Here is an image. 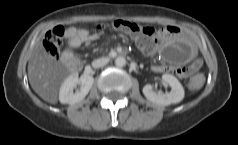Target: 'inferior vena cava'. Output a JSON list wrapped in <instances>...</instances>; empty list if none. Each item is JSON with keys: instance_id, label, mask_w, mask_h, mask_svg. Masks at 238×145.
Segmentation results:
<instances>
[{"instance_id": "inferior-vena-cava-1", "label": "inferior vena cava", "mask_w": 238, "mask_h": 145, "mask_svg": "<svg viewBox=\"0 0 238 145\" xmlns=\"http://www.w3.org/2000/svg\"><path fill=\"white\" fill-rule=\"evenodd\" d=\"M108 63V59L107 58H99V59H96L92 62V67L93 68H100V67H103L105 66L106 64Z\"/></svg>"}]
</instances>
